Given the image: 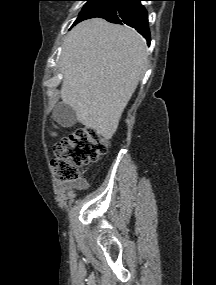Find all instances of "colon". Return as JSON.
<instances>
[{
    "label": "colon",
    "instance_id": "5ec220e1",
    "mask_svg": "<svg viewBox=\"0 0 216 285\" xmlns=\"http://www.w3.org/2000/svg\"><path fill=\"white\" fill-rule=\"evenodd\" d=\"M109 143L92 128H79L59 140L54 148L53 167L61 181L79 179L82 166L106 154Z\"/></svg>",
    "mask_w": 216,
    "mask_h": 285
}]
</instances>
